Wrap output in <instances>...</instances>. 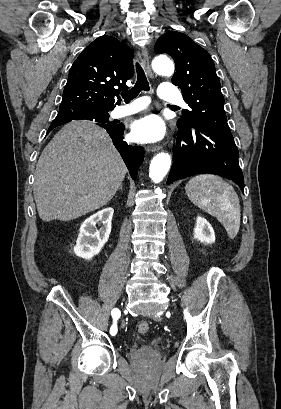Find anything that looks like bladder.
Masks as SVG:
<instances>
[{"mask_svg":"<svg viewBox=\"0 0 281 409\" xmlns=\"http://www.w3.org/2000/svg\"><path fill=\"white\" fill-rule=\"evenodd\" d=\"M137 352H139V355H152L154 354L153 352V346L149 343H144L140 342L138 345Z\"/></svg>","mask_w":281,"mask_h":409,"instance_id":"1","label":"bladder"}]
</instances>
